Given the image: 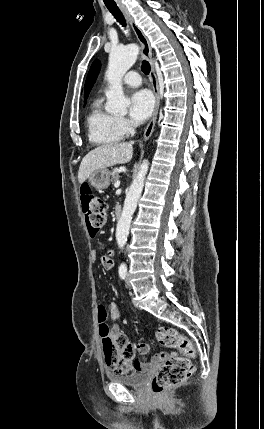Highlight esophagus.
Wrapping results in <instances>:
<instances>
[{
    "instance_id": "1",
    "label": "esophagus",
    "mask_w": 264,
    "mask_h": 429,
    "mask_svg": "<svg viewBox=\"0 0 264 429\" xmlns=\"http://www.w3.org/2000/svg\"><path fill=\"white\" fill-rule=\"evenodd\" d=\"M119 7L121 11L124 13V15L126 16L127 20L129 21L131 28L141 45L142 57L148 60L151 65L150 80H151L152 90L155 96V106H154V111H153L151 120L149 121L143 134V139L146 141L147 139L150 138V136L153 133L157 115H158L159 104H160L159 85H158V80H157L155 67L152 59V49L147 37L144 35L141 28L137 25V23L135 22L134 18L132 17L128 9L123 4H119Z\"/></svg>"
}]
</instances>
